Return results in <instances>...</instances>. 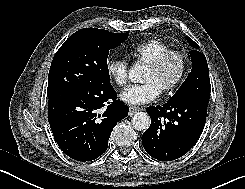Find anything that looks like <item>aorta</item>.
Returning <instances> with one entry per match:
<instances>
[{
    "label": "aorta",
    "mask_w": 245,
    "mask_h": 189,
    "mask_svg": "<svg viewBox=\"0 0 245 189\" xmlns=\"http://www.w3.org/2000/svg\"><path fill=\"white\" fill-rule=\"evenodd\" d=\"M129 79L133 83L143 82V71L140 65L135 64L129 71ZM132 125L138 131H146L150 126V117L145 112H138L132 117Z\"/></svg>",
    "instance_id": "obj_1"
}]
</instances>
